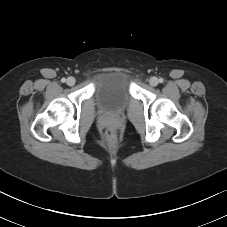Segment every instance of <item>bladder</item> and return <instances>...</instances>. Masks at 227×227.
Listing matches in <instances>:
<instances>
[{
  "mask_svg": "<svg viewBox=\"0 0 227 227\" xmlns=\"http://www.w3.org/2000/svg\"><path fill=\"white\" fill-rule=\"evenodd\" d=\"M93 96L104 112L118 113L127 108L132 100L131 77L124 71H106L95 75Z\"/></svg>",
  "mask_w": 227,
  "mask_h": 227,
  "instance_id": "bladder-1",
  "label": "bladder"
}]
</instances>
